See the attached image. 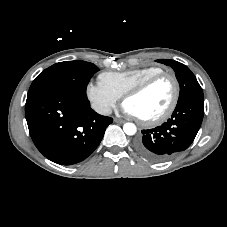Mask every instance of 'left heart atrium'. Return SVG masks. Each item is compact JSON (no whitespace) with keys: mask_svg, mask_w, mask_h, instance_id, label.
<instances>
[{"mask_svg":"<svg viewBox=\"0 0 227 227\" xmlns=\"http://www.w3.org/2000/svg\"><path fill=\"white\" fill-rule=\"evenodd\" d=\"M123 111H124V113H126L127 115L137 117V115H136V113L134 112V110H133L131 107H129L128 105H126L125 103L123 104Z\"/></svg>","mask_w":227,"mask_h":227,"instance_id":"obj_1","label":"left heart atrium"}]
</instances>
